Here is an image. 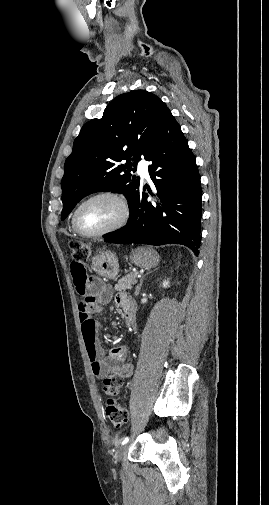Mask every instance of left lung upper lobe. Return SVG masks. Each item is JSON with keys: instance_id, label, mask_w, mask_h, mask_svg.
I'll return each mask as SVG.
<instances>
[{"instance_id": "5c2ea615", "label": "left lung upper lobe", "mask_w": 269, "mask_h": 505, "mask_svg": "<svg viewBox=\"0 0 269 505\" xmlns=\"http://www.w3.org/2000/svg\"><path fill=\"white\" fill-rule=\"evenodd\" d=\"M169 112L156 95L133 90L117 96L102 118L87 122L65 162L61 219L82 198L98 191L122 192L131 212L141 184L130 172L145 158L152 135Z\"/></svg>"}]
</instances>
